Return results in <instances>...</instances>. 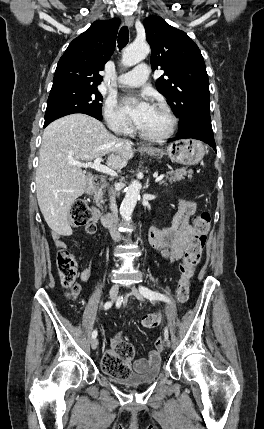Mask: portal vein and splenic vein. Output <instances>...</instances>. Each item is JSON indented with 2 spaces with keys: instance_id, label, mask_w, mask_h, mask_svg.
Segmentation results:
<instances>
[{
  "instance_id": "portal-vein-and-splenic-vein-1",
  "label": "portal vein and splenic vein",
  "mask_w": 264,
  "mask_h": 429,
  "mask_svg": "<svg viewBox=\"0 0 264 429\" xmlns=\"http://www.w3.org/2000/svg\"><path fill=\"white\" fill-rule=\"evenodd\" d=\"M101 160H102V158L99 157V158H96V160L94 162L70 161V164L74 165V166L82 167V168H92V169H95L99 172L108 174L112 177H117L118 176L117 172L115 170H113L112 168H109L105 165H102ZM163 178H164V174H161L160 176H157L155 178V182H159Z\"/></svg>"
}]
</instances>
